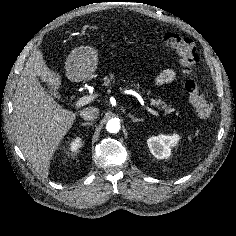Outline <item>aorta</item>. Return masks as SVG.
Here are the masks:
<instances>
[{
	"label": "aorta",
	"mask_w": 236,
	"mask_h": 236,
	"mask_svg": "<svg viewBox=\"0 0 236 236\" xmlns=\"http://www.w3.org/2000/svg\"><path fill=\"white\" fill-rule=\"evenodd\" d=\"M106 129L109 133H117L120 130V123L117 119H111L107 122Z\"/></svg>",
	"instance_id": "1"
}]
</instances>
